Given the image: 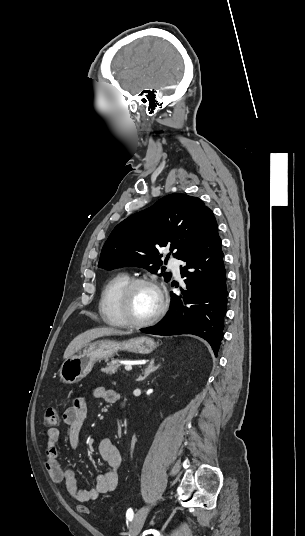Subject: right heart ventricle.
<instances>
[{
  "label": "right heart ventricle",
  "instance_id": "obj_1",
  "mask_svg": "<svg viewBox=\"0 0 305 536\" xmlns=\"http://www.w3.org/2000/svg\"><path fill=\"white\" fill-rule=\"evenodd\" d=\"M130 276L127 273L114 275L103 287L99 299V315L108 325L113 327L125 326L124 320L119 312V295L123 287L129 282Z\"/></svg>",
  "mask_w": 305,
  "mask_h": 536
}]
</instances>
